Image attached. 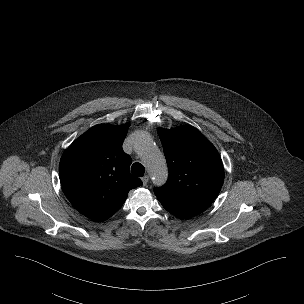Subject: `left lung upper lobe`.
Listing matches in <instances>:
<instances>
[{"instance_id": "5c2ea615", "label": "left lung upper lobe", "mask_w": 304, "mask_h": 304, "mask_svg": "<svg viewBox=\"0 0 304 304\" xmlns=\"http://www.w3.org/2000/svg\"><path fill=\"white\" fill-rule=\"evenodd\" d=\"M169 168L166 184L154 193L162 205L196 216L215 200L224 182L216 148L191 126L158 129Z\"/></svg>"}]
</instances>
